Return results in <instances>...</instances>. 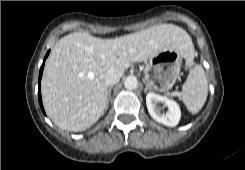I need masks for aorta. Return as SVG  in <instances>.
<instances>
[{"label": "aorta", "mask_w": 245, "mask_h": 170, "mask_svg": "<svg viewBox=\"0 0 245 170\" xmlns=\"http://www.w3.org/2000/svg\"><path fill=\"white\" fill-rule=\"evenodd\" d=\"M137 85H138V80L135 76H128L124 80V86L128 90L136 89Z\"/></svg>", "instance_id": "aorta-1"}]
</instances>
